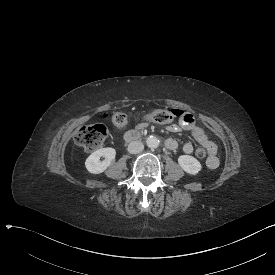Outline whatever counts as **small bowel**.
I'll return each mask as SVG.
<instances>
[{
	"label": "small bowel",
	"instance_id": "c3829d8e",
	"mask_svg": "<svg viewBox=\"0 0 275 275\" xmlns=\"http://www.w3.org/2000/svg\"><path fill=\"white\" fill-rule=\"evenodd\" d=\"M172 112V111H171ZM179 117L178 124H172L168 127L170 132L176 133L180 130L189 131L194 138V140L204 147L209 156L206 160V165L210 169H216L219 166V159L216 156L217 146L216 144L209 138L205 130L196 123L194 117L186 111H176ZM174 114V113H172ZM166 147L170 150H176L179 147V143L175 139H168L165 143ZM193 144L191 142H185L182 146V150L186 154H191L193 152Z\"/></svg>",
	"mask_w": 275,
	"mask_h": 275
}]
</instances>
